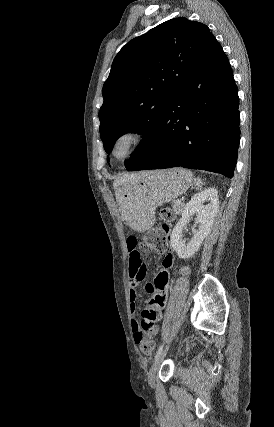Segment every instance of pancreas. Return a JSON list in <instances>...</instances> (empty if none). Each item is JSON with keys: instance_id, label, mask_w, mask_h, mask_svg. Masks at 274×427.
Returning <instances> with one entry per match:
<instances>
[{"instance_id": "pancreas-1", "label": "pancreas", "mask_w": 274, "mask_h": 427, "mask_svg": "<svg viewBox=\"0 0 274 427\" xmlns=\"http://www.w3.org/2000/svg\"><path fill=\"white\" fill-rule=\"evenodd\" d=\"M184 208V204H173L172 210L176 215H180Z\"/></svg>"}]
</instances>
